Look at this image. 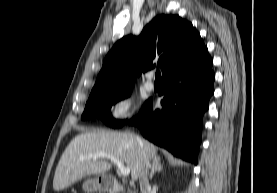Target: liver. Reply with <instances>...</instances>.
Wrapping results in <instances>:
<instances>
[{
  "mask_svg": "<svg viewBox=\"0 0 277 193\" xmlns=\"http://www.w3.org/2000/svg\"><path fill=\"white\" fill-rule=\"evenodd\" d=\"M139 139L130 133L105 130L77 135L60 158L53 189L61 191L85 176L106 174L111 169V163L104 158H89L98 152L108 153L125 163L130 168L132 179L137 180L150 161L157 158V147L147 140Z\"/></svg>",
  "mask_w": 277,
  "mask_h": 193,
  "instance_id": "liver-1",
  "label": "liver"
}]
</instances>
